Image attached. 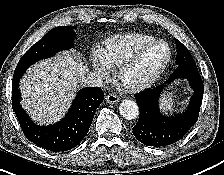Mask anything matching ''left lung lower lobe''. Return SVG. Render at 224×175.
<instances>
[{
    "label": "left lung lower lobe",
    "mask_w": 224,
    "mask_h": 175,
    "mask_svg": "<svg viewBox=\"0 0 224 175\" xmlns=\"http://www.w3.org/2000/svg\"><path fill=\"white\" fill-rule=\"evenodd\" d=\"M178 78L187 79L194 94L185 112L167 117L160 112L158 99L164 87ZM203 93L204 85L196 64L178 65L165 83L135 95L140 116L133 127V135L144 145L153 147H163L179 141L197 122Z\"/></svg>",
    "instance_id": "1"
}]
</instances>
